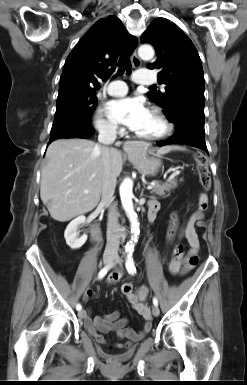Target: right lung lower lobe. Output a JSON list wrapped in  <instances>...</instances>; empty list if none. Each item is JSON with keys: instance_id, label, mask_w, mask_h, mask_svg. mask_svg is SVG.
I'll list each match as a JSON object with an SVG mask.
<instances>
[{"instance_id": "obj_1", "label": "right lung lower lobe", "mask_w": 247, "mask_h": 385, "mask_svg": "<svg viewBox=\"0 0 247 385\" xmlns=\"http://www.w3.org/2000/svg\"><path fill=\"white\" fill-rule=\"evenodd\" d=\"M91 122L83 120L70 121L58 127L52 128L50 133V144L60 138H86L93 134Z\"/></svg>"}]
</instances>
